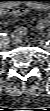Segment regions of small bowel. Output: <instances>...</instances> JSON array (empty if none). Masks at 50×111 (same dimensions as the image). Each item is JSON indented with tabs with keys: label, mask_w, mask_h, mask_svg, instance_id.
<instances>
[{
	"label": "small bowel",
	"mask_w": 50,
	"mask_h": 111,
	"mask_svg": "<svg viewBox=\"0 0 50 111\" xmlns=\"http://www.w3.org/2000/svg\"><path fill=\"white\" fill-rule=\"evenodd\" d=\"M1 13L3 14H12L15 16H24L27 14V10L20 8V7H3L0 10ZM49 18H46L42 21H40L37 25L38 29L43 30L49 25ZM27 28L25 26L18 28L17 30L14 31L13 33V38L16 42H19L22 37L26 34Z\"/></svg>",
	"instance_id": "obj_1"
}]
</instances>
